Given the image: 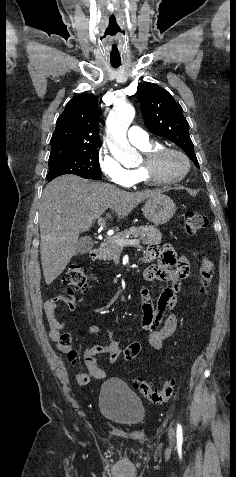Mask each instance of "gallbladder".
<instances>
[{"instance_id":"gallbladder-1","label":"gallbladder","mask_w":236,"mask_h":477,"mask_svg":"<svg viewBox=\"0 0 236 477\" xmlns=\"http://www.w3.org/2000/svg\"><path fill=\"white\" fill-rule=\"evenodd\" d=\"M93 245L94 243L91 237L89 236L82 237L81 239H79L77 244V253L79 254L88 253L92 249Z\"/></svg>"}]
</instances>
